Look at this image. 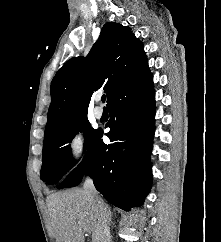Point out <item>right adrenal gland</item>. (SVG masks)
Wrapping results in <instances>:
<instances>
[{
  "label": "right adrenal gland",
  "instance_id": "right-adrenal-gland-1",
  "mask_svg": "<svg viewBox=\"0 0 221 242\" xmlns=\"http://www.w3.org/2000/svg\"><path fill=\"white\" fill-rule=\"evenodd\" d=\"M112 216H113V214H112V212H111L110 209H109V218H110V222H111V224H112Z\"/></svg>",
  "mask_w": 221,
  "mask_h": 242
}]
</instances>
